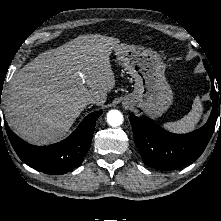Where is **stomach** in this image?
<instances>
[{
  "instance_id": "obj_1",
  "label": "stomach",
  "mask_w": 221,
  "mask_h": 221,
  "mask_svg": "<svg viewBox=\"0 0 221 221\" xmlns=\"http://www.w3.org/2000/svg\"><path fill=\"white\" fill-rule=\"evenodd\" d=\"M114 50L135 81L134 90L122 99L123 106H136L150 117H160L173 101L162 57L152 50L135 45L120 44Z\"/></svg>"
}]
</instances>
